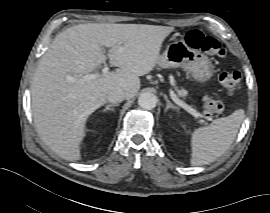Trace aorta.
<instances>
[{
    "label": "aorta",
    "instance_id": "1",
    "mask_svg": "<svg viewBox=\"0 0 270 213\" xmlns=\"http://www.w3.org/2000/svg\"><path fill=\"white\" fill-rule=\"evenodd\" d=\"M138 104L143 109H154L157 105V97L151 92H144L139 96Z\"/></svg>",
    "mask_w": 270,
    "mask_h": 213
}]
</instances>
